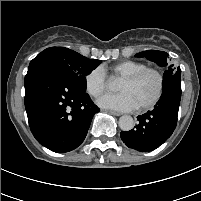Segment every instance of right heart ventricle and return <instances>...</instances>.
Returning <instances> with one entry per match:
<instances>
[{
	"instance_id": "1",
	"label": "right heart ventricle",
	"mask_w": 201,
	"mask_h": 201,
	"mask_svg": "<svg viewBox=\"0 0 201 201\" xmlns=\"http://www.w3.org/2000/svg\"><path fill=\"white\" fill-rule=\"evenodd\" d=\"M145 67H147L146 64L142 62L133 60H124L114 64L109 68L105 66H103L102 68L104 69L105 72L109 71L112 75L123 78Z\"/></svg>"
}]
</instances>
